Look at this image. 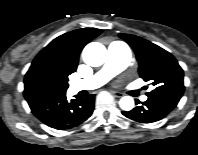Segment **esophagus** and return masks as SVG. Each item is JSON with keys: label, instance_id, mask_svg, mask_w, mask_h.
<instances>
[{"label": "esophagus", "instance_id": "obj_1", "mask_svg": "<svg viewBox=\"0 0 198 155\" xmlns=\"http://www.w3.org/2000/svg\"><path fill=\"white\" fill-rule=\"evenodd\" d=\"M112 94H113L115 97H117V98H120V97H122V96L124 95L123 93L118 92V91H112Z\"/></svg>", "mask_w": 198, "mask_h": 155}]
</instances>
